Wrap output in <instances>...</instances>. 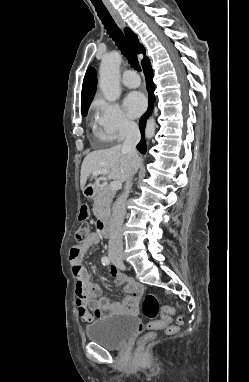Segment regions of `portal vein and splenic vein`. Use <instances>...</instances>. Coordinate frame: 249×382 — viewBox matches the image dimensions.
Listing matches in <instances>:
<instances>
[{"label": "portal vein and splenic vein", "instance_id": "obj_1", "mask_svg": "<svg viewBox=\"0 0 249 382\" xmlns=\"http://www.w3.org/2000/svg\"><path fill=\"white\" fill-rule=\"evenodd\" d=\"M109 171L107 169H99V170H96L93 172V175H99V174H108ZM122 186V183L120 181H112L110 184H109V188L111 190H118L120 189Z\"/></svg>", "mask_w": 249, "mask_h": 382}]
</instances>
